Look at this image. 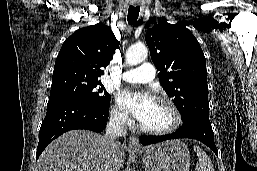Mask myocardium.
<instances>
[{"label":"myocardium","instance_id":"f54148a6","mask_svg":"<svg viewBox=\"0 0 257 171\" xmlns=\"http://www.w3.org/2000/svg\"><path fill=\"white\" fill-rule=\"evenodd\" d=\"M156 102L163 104L169 108V110L171 111V113L173 115L172 123L165 128L155 129V128H148V127L144 126L143 124H141V122H140L139 123L140 130L145 133L152 134V135H167V134L173 133L174 131H176L179 128V126L181 125V122H182V116H181V113H180L178 107L171 99L166 98V97H159V98H157Z\"/></svg>","mask_w":257,"mask_h":171}]
</instances>
